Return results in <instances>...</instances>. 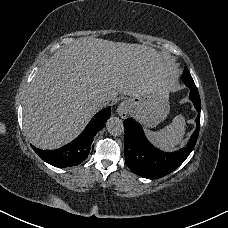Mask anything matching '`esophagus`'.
<instances>
[{
  "label": "esophagus",
  "instance_id": "1",
  "mask_svg": "<svg viewBox=\"0 0 228 228\" xmlns=\"http://www.w3.org/2000/svg\"><path fill=\"white\" fill-rule=\"evenodd\" d=\"M130 102L128 100H124L117 108V113L121 118H126L129 113Z\"/></svg>",
  "mask_w": 228,
  "mask_h": 228
}]
</instances>
